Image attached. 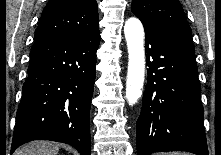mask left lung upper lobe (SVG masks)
<instances>
[{"label":"left lung upper lobe","mask_w":221,"mask_h":155,"mask_svg":"<svg viewBox=\"0 0 221 155\" xmlns=\"http://www.w3.org/2000/svg\"><path fill=\"white\" fill-rule=\"evenodd\" d=\"M131 7L143 24L193 44L191 29L178 0H133Z\"/></svg>","instance_id":"1"}]
</instances>
